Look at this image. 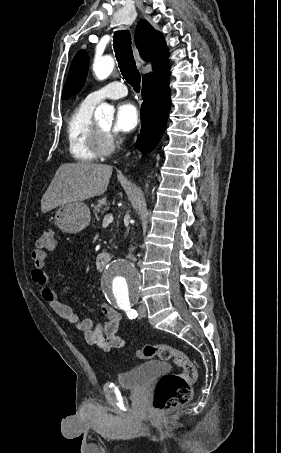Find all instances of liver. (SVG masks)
I'll use <instances>...</instances> for the list:
<instances>
[{
  "label": "liver",
  "mask_w": 281,
  "mask_h": 453,
  "mask_svg": "<svg viewBox=\"0 0 281 453\" xmlns=\"http://www.w3.org/2000/svg\"><path fill=\"white\" fill-rule=\"evenodd\" d=\"M112 166L96 162H65L41 198L42 212L67 202H82L107 190Z\"/></svg>",
  "instance_id": "obj_1"
}]
</instances>
